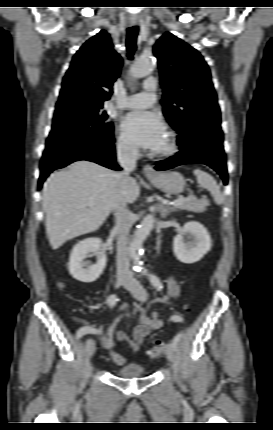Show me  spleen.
I'll use <instances>...</instances> for the list:
<instances>
[{"label": "spleen", "instance_id": "3e777b00", "mask_svg": "<svg viewBox=\"0 0 273 430\" xmlns=\"http://www.w3.org/2000/svg\"><path fill=\"white\" fill-rule=\"evenodd\" d=\"M194 174L197 177L198 184L210 191L215 203L222 205L224 197L216 180L209 173L202 171L201 169H195Z\"/></svg>", "mask_w": 273, "mask_h": 430}]
</instances>
